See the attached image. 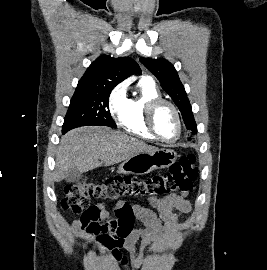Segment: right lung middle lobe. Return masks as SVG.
Masks as SVG:
<instances>
[{
    "label": "right lung middle lobe",
    "instance_id": "obj_1",
    "mask_svg": "<svg viewBox=\"0 0 267 270\" xmlns=\"http://www.w3.org/2000/svg\"><path fill=\"white\" fill-rule=\"evenodd\" d=\"M113 87L76 88L64 119L63 133L87 125L116 128L108 100Z\"/></svg>",
    "mask_w": 267,
    "mask_h": 270
}]
</instances>
